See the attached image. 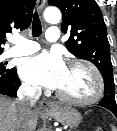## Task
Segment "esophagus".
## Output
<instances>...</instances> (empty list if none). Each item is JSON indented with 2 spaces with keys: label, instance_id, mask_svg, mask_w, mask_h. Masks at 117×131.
Instances as JSON below:
<instances>
[{
  "label": "esophagus",
  "instance_id": "34e87169",
  "mask_svg": "<svg viewBox=\"0 0 117 131\" xmlns=\"http://www.w3.org/2000/svg\"><path fill=\"white\" fill-rule=\"evenodd\" d=\"M46 0H37V10L39 13L42 12ZM40 110L43 112L50 111L54 108V104L51 101H41L39 104Z\"/></svg>",
  "mask_w": 117,
  "mask_h": 131
}]
</instances>
